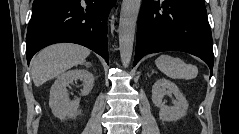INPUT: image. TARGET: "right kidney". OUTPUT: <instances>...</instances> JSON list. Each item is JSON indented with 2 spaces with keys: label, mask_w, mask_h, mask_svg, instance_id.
I'll list each match as a JSON object with an SVG mask.
<instances>
[{
  "label": "right kidney",
  "mask_w": 239,
  "mask_h": 134,
  "mask_svg": "<svg viewBox=\"0 0 239 134\" xmlns=\"http://www.w3.org/2000/svg\"><path fill=\"white\" fill-rule=\"evenodd\" d=\"M83 81V90L81 95H88L94 86V76L86 69H74L62 73L54 82L50 90L49 106L52 113L60 118L72 117L77 113L79 107V99L69 100L67 87L74 80Z\"/></svg>",
  "instance_id": "1"
}]
</instances>
